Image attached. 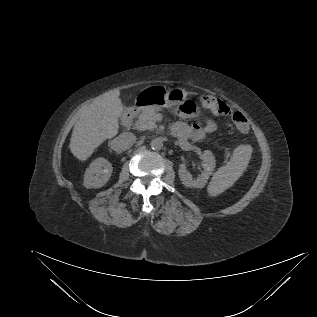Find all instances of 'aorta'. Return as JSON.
Instances as JSON below:
<instances>
[{
  "label": "aorta",
  "mask_w": 317,
  "mask_h": 317,
  "mask_svg": "<svg viewBox=\"0 0 317 317\" xmlns=\"http://www.w3.org/2000/svg\"><path fill=\"white\" fill-rule=\"evenodd\" d=\"M150 146L153 150H156V151L161 150L163 147V141L160 138H154L151 141Z\"/></svg>",
  "instance_id": "aorta-1"
}]
</instances>
